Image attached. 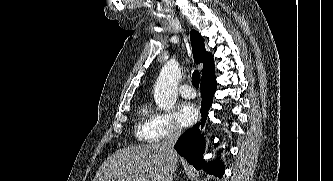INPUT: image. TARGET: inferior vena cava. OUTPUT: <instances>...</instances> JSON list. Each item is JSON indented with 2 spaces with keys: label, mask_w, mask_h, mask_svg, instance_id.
I'll return each instance as SVG.
<instances>
[{
  "label": "inferior vena cava",
  "mask_w": 333,
  "mask_h": 181,
  "mask_svg": "<svg viewBox=\"0 0 333 181\" xmlns=\"http://www.w3.org/2000/svg\"><path fill=\"white\" fill-rule=\"evenodd\" d=\"M181 135V128L179 126H172L169 130L167 136L162 140L161 146L164 148L168 160L169 167L166 174L165 181H173L176 172V152L174 150V145Z\"/></svg>",
  "instance_id": "inferior-vena-cava-1"
}]
</instances>
